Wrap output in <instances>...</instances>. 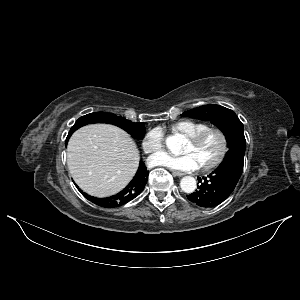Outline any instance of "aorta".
I'll list each match as a JSON object with an SVG mask.
<instances>
[{
    "label": "aorta",
    "instance_id": "obj_1",
    "mask_svg": "<svg viewBox=\"0 0 300 300\" xmlns=\"http://www.w3.org/2000/svg\"><path fill=\"white\" fill-rule=\"evenodd\" d=\"M166 145L168 149H170L172 152L177 153L179 152L181 145H182V139L180 135H172L168 136L166 138ZM180 187L183 192L185 193H192L195 191L197 187V183L195 178L191 176H185L180 181Z\"/></svg>",
    "mask_w": 300,
    "mask_h": 300
}]
</instances>
